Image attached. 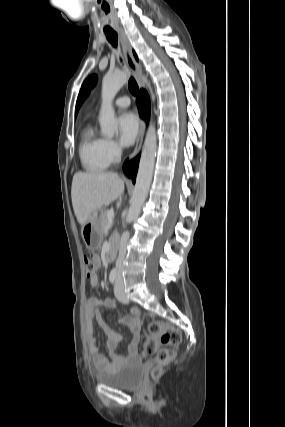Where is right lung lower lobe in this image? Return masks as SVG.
<instances>
[{"instance_id":"right-lung-lower-lobe-1","label":"right lung lower lobe","mask_w":285,"mask_h":427,"mask_svg":"<svg viewBox=\"0 0 285 427\" xmlns=\"http://www.w3.org/2000/svg\"><path fill=\"white\" fill-rule=\"evenodd\" d=\"M137 105L139 108V113L142 118L146 121L149 119L150 115V100L147 93L144 90L140 91V94L137 97ZM139 156L132 160L130 163L128 160L125 162L123 170L125 174L132 178V182L135 183L136 172L138 168Z\"/></svg>"}]
</instances>
